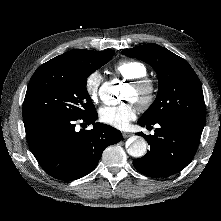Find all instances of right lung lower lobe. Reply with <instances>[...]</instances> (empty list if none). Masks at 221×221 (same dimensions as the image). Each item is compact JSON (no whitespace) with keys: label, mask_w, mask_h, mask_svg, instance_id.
<instances>
[{"label":"right lung lower lobe","mask_w":221,"mask_h":221,"mask_svg":"<svg viewBox=\"0 0 221 221\" xmlns=\"http://www.w3.org/2000/svg\"><path fill=\"white\" fill-rule=\"evenodd\" d=\"M97 112L80 119L23 118L26 138L40 166L52 177L71 181L90 173L104 149L122 139L119 130L95 123ZM78 120L93 124L92 130H75Z\"/></svg>","instance_id":"98d812e1"}]
</instances>
